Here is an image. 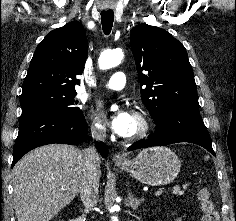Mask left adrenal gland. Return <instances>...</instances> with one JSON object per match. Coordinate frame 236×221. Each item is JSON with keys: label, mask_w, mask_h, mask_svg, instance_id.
<instances>
[{"label": "left adrenal gland", "mask_w": 236, "mask_h": 221, "mask_svg": "<svg viewBox=\"0 0 236 221\" xmlns=\"http://www.w3.org/2000/svg\"><path fill=\"white\" fill-rule=\"evenodd\" d=\"M144 201L143 198L138 199L136 197H134L132 191H129V195H128V205L133 209V210H137L138 206H140V204Z\"/></svg>", "instance_id": "left-adrenal-gland-1"}]
</instances>
